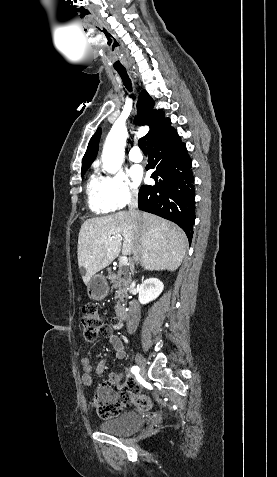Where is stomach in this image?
Here are the masks:
<instances>
[{
	"mask_svg": "<svg viewBox=\"0 0 277 477\" xmlns=\"http://www.w3.org/2000/svg\"><path fill=\"white\" fill-rule=\"evenodd\" d=\"M109 286L102 274L93 275L87 287V295L90 299L98 301L108 295Z\"/></svg>",
	"mask_w": 277,
	"mask_h": 477,
	"instance_id": "0dacf381",
	"label": "stomach"
}]
</instances>
